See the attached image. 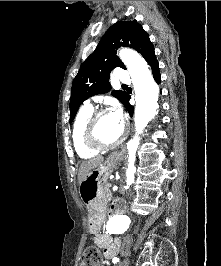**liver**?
Masks as SVG:
<instances>
[{
  "instance_id": "1",
  "label": "liver",
  "mask_w": 221,
  "mask_h": 266,
  "mask_svg": "<svg viewBox=\"0 0 221 266\" xmlns=\"http://www.w3.org/2000/svg\"><path fill=\"white\" fill-rule=\"evenodd\" d=\"M104 162V158L102 156L95 157L93 159H89L81 163L79 168L78 180L79 182L85 177V175L90 172L92 169L98 167Z\"/></svg>"
}]
</instances>
